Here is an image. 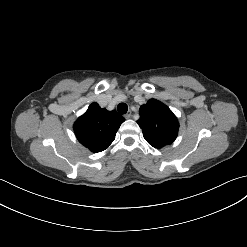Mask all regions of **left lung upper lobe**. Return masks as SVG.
<instances>
[{
	"mask_svg": "<svg viewBox=\"0 0 247 247\" xmlns=\"http://www.w3.org/2000/svg\"><path fill=\"white\" fill-rule=\"evenodd\" d=\"M145 140L155 148H162L174 142L179 123L174 113L162 102L150 99L140 107V120Z\"/></svg>",
	"mask_w": 247,
	"mask_h": 247,
	"instance_id": "1",
	"label": "left lung upper lobe"
}]
</instances>
